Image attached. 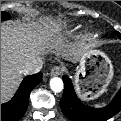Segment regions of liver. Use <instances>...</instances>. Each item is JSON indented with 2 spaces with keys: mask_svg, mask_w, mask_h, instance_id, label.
Instances as JSON below:
<instances>
[{
  "mask_svg": "<svg viewBox=\"0 0 121 121\" xmlns=\"http://www.w3.org/2000/svg\"><path fill=\"white\" fill-rule=\"evenodd\" d=\"M52 22L22 24L1 23V103L9 100L22 80L21 65L30 56L40 57L56 48L57 57L74 56L79 53L77 46L57 45Z\"/></svg>",
  "mask_w": 121,
  "mask_h": 121,
  "instance_id": "liver-1",
  "label": "liver"
}]
</instances>
